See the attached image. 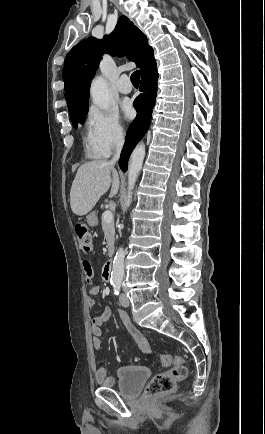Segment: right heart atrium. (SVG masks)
Returning <instances> with one entry per match:
<instances>
[{
  "mask_svg": "<svg viewBox=\"0 0 265 434\" xmlns=\"http://www.w3.org/2000/svg\"><path fill=\"white\" fill-rule=\"evenodd\" d=\"M88 113L84 127L86 153L93 159H114L121 148L127 147L118 103L111 101L109 106H89Z\"/></svg>",
  "mask_w": 265,
  "mask_h": 434,
  "instance_id": "right-heart-atrium-1",
  "label": "right heart atrium"
}]
</instances>
